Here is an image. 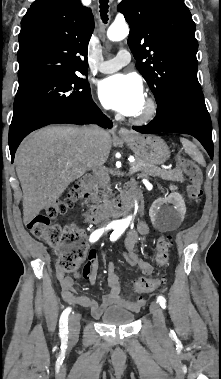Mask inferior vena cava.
Here are the masks:
<instances>
[{
  "instance_id": "602c4592",
  "label": "inferior vena cava",
  "mask_w": 221,
  "mask_h": 379,
  "mask_svg": "<svg viewBox=\"0 0 221 379\" xmlns=\"http://www.w3.org/2000/svg\"><path fill=\"white\" fill-rule=\"evenodd\" d=\"M85 133L92 139H96L99 136H101L104 131L101 130L98 126H91L89 128H86ZM93 173L98 179L99 183L104 187L108 188L109 184V176L106 172L105 167L101 164L99 166H96L93 168Z\"/></svg>"
}]
</instances>
